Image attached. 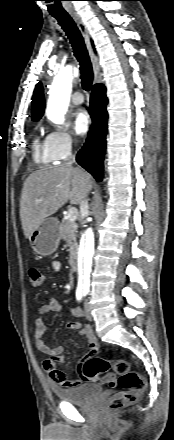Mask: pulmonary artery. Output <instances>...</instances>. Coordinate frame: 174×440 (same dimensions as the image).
Returning a JSON list of instances; mask_svg holds the SVG:
<instances>
[{"mask_svg": "<svg viewBox=\"0 0 174 440\" xmlns=\"http://www.w3.org/2000/svg\"><path fill=\"white\" fill-rule=\"evenodd\" d=\"M71 101L73 104L75 105H79L82 104L84 102V97L83 94L81 92H75L72 96H71Z\"/></svg>", "mask_w": 174, "mask_h": 440, "instance_id": "1", "label": "pulmonary artery"}]
</instances>
